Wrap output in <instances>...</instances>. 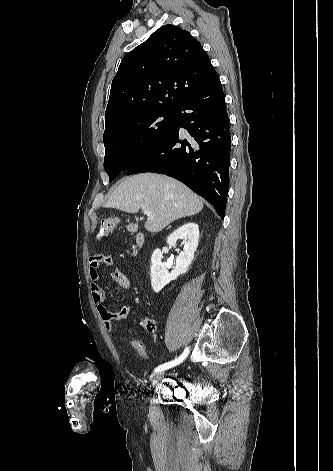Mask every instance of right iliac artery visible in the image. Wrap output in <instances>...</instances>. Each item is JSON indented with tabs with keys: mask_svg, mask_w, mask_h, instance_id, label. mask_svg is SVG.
Wrapping results in <instances>:
<instances>
[{
	"mask_svg": "<svg viewBox=\"0 0 333 471\" xmlns=\"http://www.w3.org/2000/svg\"><path fill=\"white\" fill-rule=\"evenodd\" d=\"M188 353H189V348H186L184 350V352L181 354L180 357H178L177 359L173 360V361H170V362H167V363H164L160 366H158L156 369H155V372H158V371H162V370H166V369H169L171 367H174L178 364H180L181 362H183L185 360V358L188 356Z\"/></svg>",
	"mask_w": 333,
	"mask_h": 471,
	"instance_id": "82829eb1",
	"label": "right iliac artery"
}]
</instances>
